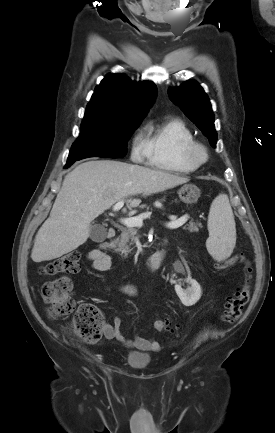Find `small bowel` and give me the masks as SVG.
<instances>
[{"mask_svg": "<svg viewBox=\"0 0 275 433\" xmlns=\"http://www.w3.org/2000/svg\"><path fill=\"white\" fill-rule=\"evenodd\" d=\"M87 258L95 271H105L111 265L110 257L98 248L90 250ZM119 288L126 295H133L135 293L134 286L130 284H122ZM103 333L105 338L117 340L128 348H135L141 351H158L161 349L160 343L154 339H146L141 336H137L134 339L126 338L121 332V320L118 317L114 319L112 324H103Z\"/></svg>", "mask_w": 275, "mask_h": 433, "instance_id": "c3829d8e", "label": "small bowel"}]
</instances>
